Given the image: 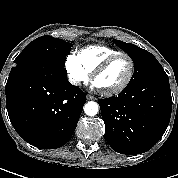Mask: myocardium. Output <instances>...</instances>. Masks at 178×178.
Masks as SVG:
<instances>
[{
  "mask_svg": "<svg viewBox=\"0 0 178 178\" xmlns=\"http://www.w3.org/2000/svg\"><path fill=\"white\" fill-rule=\"evenodd\" d=\"M125 57L128 59L129 61V73L127 78L125 79V81L120 84L119 86L111 89V90H102V93L106 96H113L116 94L121 93L122 91H124L129 84L131 83L133 77H134V73H135V61L132 58L131 55L127 54V53H118L115 55H112L108 58H106L103 62H101L92 72L91 75V79L93 81V83L95 82V79L102 73L104 72L112 63H114L116 60Z\"/></svg>",
  "mask_w": 178,
  "mask_h": 178,
  "instance_id": "f54148a6",
  "label": "myocardium"
}]
</instances>
